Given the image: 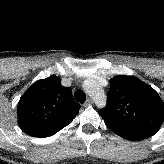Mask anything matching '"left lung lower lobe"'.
<instances>
[{
  "label": "left lung lower lobe",
  "instance_id": "0a47b994",
  "mask_svg": "<svg viewBox=\"0 0 164 164\" xmlns=\"http://www.w3.org/2000/svg\"><path fill=\"white\" fill-rule=\"evenodd\" d=\"M103 119L108 128H110L114 133H116L117 135L121 136L124 139L130 140V141H139V140H143L152 136L147 133H143L140 131L114 125L112 122H110L106 118H103Z\"/></svg>",
  "mask_w": 164,
  "mask_h": 164
}]
</instances>
